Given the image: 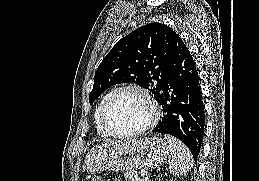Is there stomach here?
<instances>
[{
	"label": "stomach",
	"mask_w": 259,
	"mask_h": 181,
	"mask_svg": "<svg viewBox=\"0 0 259 181\" xmlns=\"http://www.w3.org/2000/svg\"><path fill=\"white\" fill-rule=\"evenodd\" d=\"M169 157V147L162 138H143L96 146L87 154L84 168L90 173L160 168Z\"/></svg>",
	"instance_id": "obj_1"
}]
</instances>
